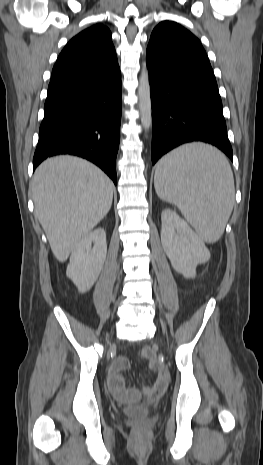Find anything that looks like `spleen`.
<instances>
[{
    "label": "spleen",
    "mask_w": 263,
    "mask_h": 465,
    "mask_svg": "<svg viewBox=\"0 0 263 465\" xmlns=\"http://www.w3.org/2000/svg\"><path fill=\"white\" fill-rule=\"evenodd\" d=\"M154 186L159 198L176 205L203 241L220 239L235 197L233 173L220 151L204 144L171 151L157 164Z\"/></svg>",
    "instance_id": "spleen-1"
}]
</instances>
